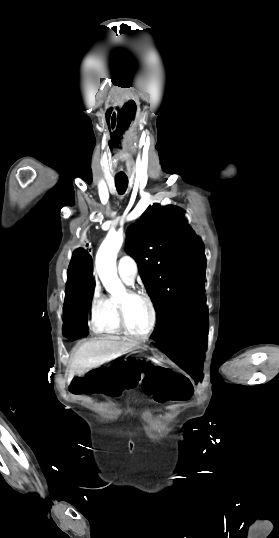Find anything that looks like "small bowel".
Wrapping results in <instances>:
<instances>
[{
	"instance_id": "1",
	"label": "small bowel",
	"mask_w": 279,
	"mask_h": 538,
	"mask_svg": "<svg viewBox=\"0 0 279 538\" xmlns=\"http://www.w3.org/2000/svg\"><path fill=\"white\" fill-rule=\"evenodd\" d=\"M142 388L147 395L162 404L183 403L192 396L189 380L168 369H157L146 374Z\"/></svg>"
}]
</instances>
